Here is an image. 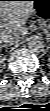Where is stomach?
<instances>
[{
    "label": "stomach",
    "instance_id": "1",
    "mask_svg": "<svg viewBox=\"0 0 50 111\" xmlns=\"http://www.w3.org/2000/svg\"><path fill=\"white\" fill-rule=\"evenodd\" d=\"M33 14L43 24L50 23V0H34Z\"/></svg>",
    "mask_w": 50,
    "mask_h": 111
}]
</instances>
